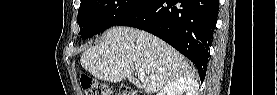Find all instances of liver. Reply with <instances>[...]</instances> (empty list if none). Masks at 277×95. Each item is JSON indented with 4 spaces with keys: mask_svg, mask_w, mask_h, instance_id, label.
I'll list each match as a JSON object with an SVG mask.
<instances>
[{
    "mask_svg": "<svg viewBox=\"0 0 277 95\" xmlns=\"http://www.w3.org/2000/svg\"><path fill=\"white\" fill-rule=\"evenodd\" d=\"M80 62L95 78L106 82L128 78L148 95L172 81L196 79L194 66L177 50L156 36L131 27L108 29L97 44L85 50ZM138 72L144 77H134Z\"/></svg>",
    "mask_w": 277,
    "mask_h": 95,
    "instance_id": "6515ba94",
    "label": "liver"
}]
</instances>
